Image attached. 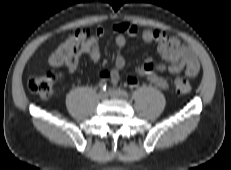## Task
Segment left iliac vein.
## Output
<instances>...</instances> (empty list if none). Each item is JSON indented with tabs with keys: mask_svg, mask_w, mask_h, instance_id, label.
<instances>
[{
	"mask_svg": "<svg viewBox=\"0 0 231 170\" xmlns=\"http://www.w3.org/2000/svg\"><path fill=\"white\" fill-rule=\"evenodd\" d=\"M108 94L113 98H119L121 96L119 91L117 89H114V88L109 89Z\"/></svg>",
	"mask_w": 231,
	"mask_h": 170,
	"instance_id": "1",
	"label": "left iliac vein"
}]
</instances>
